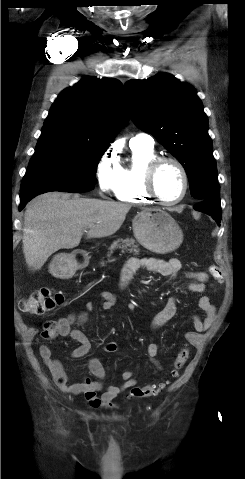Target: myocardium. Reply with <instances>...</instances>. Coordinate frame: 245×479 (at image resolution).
Masks as SVG:
<instances>
[{"label":"myocardium","instance_id":"f54148a6","mask_svg":"<svg viewBox=\"0 0 245 479\" xmlns=\"http://www.w3.org/2000/svg\"><path fill=\"white\" fill-rule=\"evenodd\" d=\"M165 164H172L177 167L179 172L181 173L183 179V190L182 194L179 198L173 201L164 200L158 193L156 188V178L159 170ZM144 188L147 194L156 200L158 203L165 205V206H172L179 204L182 202L189 190V176L187 170L183 163L178 160L177 158L171 156H157L152 159L148 165L146 166L145 173H144Z\"/></svg>","mask_w":245,"mask_h":479}]
</instances>
